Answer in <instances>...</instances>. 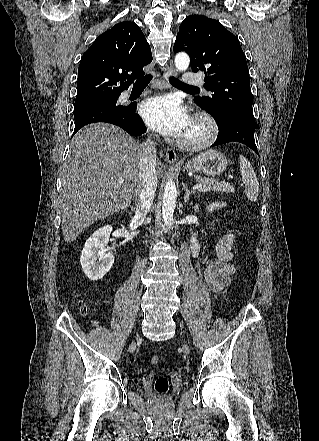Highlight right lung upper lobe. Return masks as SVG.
<instances>
[{
  "label": "right lung upper lobe",
  "instance_id": "1",
  "mask_svg": "<svg viewBox=\"0 0 319 441\" xmlns=\"http://www.w3.org/2000/svg\"><path fill=\"white\" fill-rule=\"evenodd\" d=\"M152 61L150 46L131 21L116 24L100 35L83 54L75 101L119 96Z\"/></svg>",
  "mask_w": 319,
  "mask_h": 441
}]
</instances>
